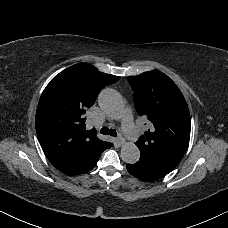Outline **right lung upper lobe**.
I'll list each match as a JSON object with an SVG mask.
<instances>
[{"label":"right lung upper lobe","mask_w":228,"mask_h":228,"mask_svg":"<svg viewBox=\"0 0 228 228\" xmlns=\"http://www.w3.org/2000/svg\"><path fill=\"white\" fill-rule=\"evenodd\" d=\"M120 77L99 72L87 63L75 64L57 74L44 89L36 112V132L41 147L55 168L82 153L101 148L105 141L87 130L84 118L101 89Z\"/></svg>","instance_id":"right-lung-upper-lobe-1"}]
</instances>
